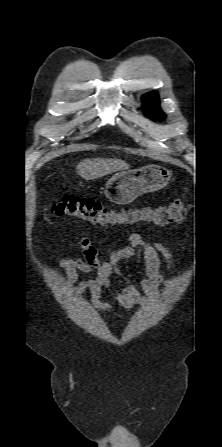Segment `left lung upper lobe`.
<instances>
[{"label":"left lung upper lobe","mask_w":222,"mask_h":447,"mask_svg":"<svg viewBox=\"0 0 222 447\" xmlns=\"http://www.w3.org/2000/svg\"><path fill=\"white\" fill-rule=\"evenodd\" d=\"M144 104L150 109L146 112V115L154 120H163L165 115L159 109V98L157 92H150L143 96Z\"/></svg>","instance_id":"5c2ea615"}]
</instances>
